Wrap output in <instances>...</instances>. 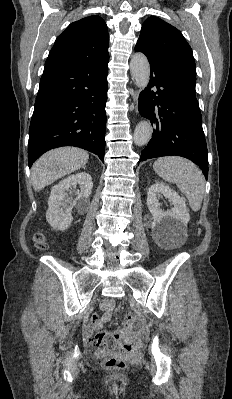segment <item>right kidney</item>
<instances>
[{
    "label": "right kidney",
    "mask_w": 232,
    "mask_h": 399,
    "mask_svg": "<svg viewBox=\"0 0 232 399\" xmlns=\"http://www.w3.org/2000/svg\"><path fill=\"white\" fill-rule=\"evenodd\" d=\"M92 188V178L86 172L72 174L53 186L46 211V219L51 227L60 231L66 229L73 219L71 211L74 205H87Z\"/></svg>",
    "instance_id": "obj_1"
}]
</instances>
